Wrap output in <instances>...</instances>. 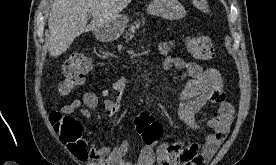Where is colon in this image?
Returning a JSON list of instances; mask_svg holds the SVG:
<instances>
[{
    "instance_id": "5ec220e1",
    "label": "colon",
    "mask_w": 276,
    "mask_h": 165,
    "mask_svg": "<svg viewBox=\"0 0 276 165\" xmlns=\"http://www.w3.org/2000/svg\"><path fill=\"white\" fill-rule=\"evenodd\" d=\"M189 51L198 59L208 61L214 58L212 41L203 35L190 38L187 42ZM92 60L82 54H72L63 65V79L59 85L62 95H68L83 84L86 75L92 70ZM50 121L54 130L60 135L62 142L68 146L82 143V126L72 116H64L58 111L50 113ZM135 127L146 145L156 143L162 136V126L149 112H142L135 118Z\"/></svg>"
}]
</instances>
